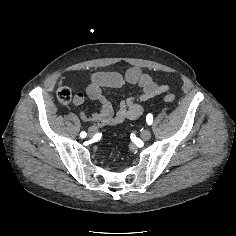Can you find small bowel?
Wrapping results in <instances>:
<instances>
[{"label": "small bowel", "mask_w": 236, "mask_h": 236, "mask_svg": "<svg viewBox=\"0 0 236 236\" xmlns=\"http://www.w3.org/2000/svg\"><path fill=\"white\" fill-rule=\"evenodd\" d=\"M126 84L136 85L141 89L138 97H131L122 101L117 111H114L110 100L103 94L104 88H121ZM166 84H159L154 79L144 73L138 67L128 69L125 74L118 72L99 71L91 75L90 83L86 88V95L101 104L98 112L87 115L80 112V118L84 122H93L98 126H114L126 120H134L144 112L143 103L149 99L167 92ZM74 105L81 107L85 102V95L81 92L74 96Z\"/></svg>", "instance_id": "small-bowel-1"}]
</instances>
